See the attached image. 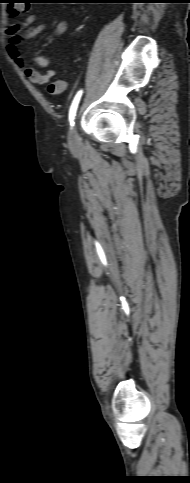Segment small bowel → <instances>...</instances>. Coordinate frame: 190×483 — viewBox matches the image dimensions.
<instances>
[{"label": "small bowel", "mask_w": 190, "mask_h": 483, "mask_svg": "<svg viewBox=\"0 0 190 483\" xmlns=\"http://www.w3.org/2000/svg\"><path fill=\"white\" fill-rule=\"evenodd\" d=\"M36 17L30 16L23 23H13L6 29V34L8 35V41L6 44V51L8 56L20 68L28 79L36 84H46L50 82L55 77V72L53 70H48L45 73L39 72L36 68L28 65V60L20 52V34L24 27L30 26L34 23ZM46 29L45 24H38L35 26H30L25 31V37L32 39L40 35ZM67 29V24L63 20H55L53 22V33L55 35H62ZM33 64L40 67H47L50 65L51 61L49 58L44 56H34L31 58ZM67 87V82L63 79L53 80L49 86L48 91L50 94L56 95L62 93Z\"/></svg>", "instance_id": "1"}]
</instances>
